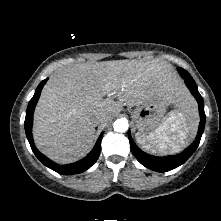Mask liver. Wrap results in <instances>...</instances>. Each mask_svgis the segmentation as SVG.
Returning a JSON list of instances; mask_svg holds the SVG:
<instances>
[{
  "mask_svg": "<svg viewBox=\"0 0 221 221\" xmlns=\"http://www.w3.org/2000/svg\"><path fill=\"white\" fill-rule=\"evenodd\" d=\"M155 97H165L180 110L193 106L176 72L163 62L113 60L61 68L49 78L35 108V145L59 164L78 161L94 145L97 115L106 116L104 125L123 106H140Z\"/></svg>",
  "mask_w": 221,
  "mask_h": 221,
  "instance_id": "obj_1",
  "label": "liver"
}]
</instances>
